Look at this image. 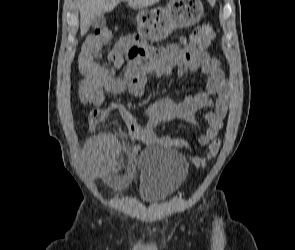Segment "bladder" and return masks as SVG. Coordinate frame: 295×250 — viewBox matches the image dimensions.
I'll use <instances>...</instances> for the list:
<instances>
[{
	"label": "bladder",
	"instance_id": "1",
	"mask_svg": "<svg viewBox=\"0 0 295 250\" xmlns=\"http://www.w3.org/2000/svg\"><path fill=\"white\" fill-rule=\"evenodd\" d=\"M137 168L141 176L139 195L146 203L166 200L188 173L185 157L169 147L143 150L137 158Z\"/></svg>",
	"mask_w": 295,
	"mask_h": 250
}]
</instances>
